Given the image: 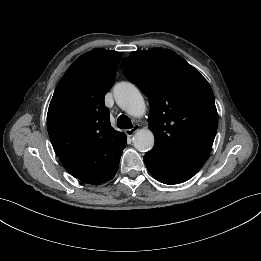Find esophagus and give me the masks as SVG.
Wrapping results in <instances>:
<instances>
[{"instance_id":"1","label":"esophagus","mask_w":261,"mask_h":261,"mask_svg":"<svg viewBox=\"0 0 261 261\" xmlns=\"http://www.w3.org/2000/svg\"><path fill=\"white\" fill-rule=\"evenodd\" d=\"M140 129V125L136 124L133 128L127 129L125 132L128 136H133Z\"/></svg>"}]
</instances>
